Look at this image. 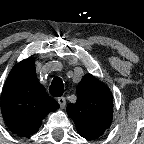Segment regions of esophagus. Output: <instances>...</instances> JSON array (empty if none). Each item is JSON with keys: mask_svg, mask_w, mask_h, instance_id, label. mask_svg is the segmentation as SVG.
Returning a JSON list of instances; mask_svg holds the SVG:
<instances>
[{"mask_svg": "<svg viewBox=\"0 0 144 144\" xmlns=\"http://www.w3.org/2000/svg\"><path fill=\"white\" fill-rule=\"evenodd\" d=\"M57 101H58V103H59V105H60L61 108L65 107V105H66V99H65V97H59L57 99Z\"/></svg>", "mask_w": 144, "mask_h": 144, "instance_id": "34e87169", "label": "esophagus"}]
</instances>
